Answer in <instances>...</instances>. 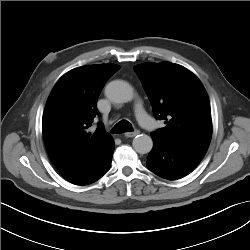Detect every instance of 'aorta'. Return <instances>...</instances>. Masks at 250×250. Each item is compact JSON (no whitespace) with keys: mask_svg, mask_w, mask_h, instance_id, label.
<instances>
[{"mask_svg":"<svg viewBox=\"0 0 250 250\" xmlns=\"http://www.w3.org/2000/svg\"><path fill=\"white\" fill-rule=\"evenodd\" d=\"M106 97L114 103H127L133 99V88L123 80H114L105 87ZM134 150L139 154H147L153 147V141L146 134L137 135L132 142Z\"/></svg>","mask_w":250,"mask_h":250,"instance_id":"aorta-1","label":"aorta"}]
</instances>
